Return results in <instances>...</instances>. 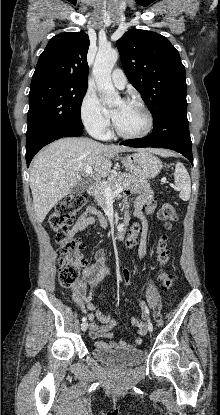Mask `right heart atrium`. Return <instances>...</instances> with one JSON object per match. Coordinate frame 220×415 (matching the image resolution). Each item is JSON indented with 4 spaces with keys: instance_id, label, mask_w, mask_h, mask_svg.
<instances>
[{
    "instance_id": "d8ad5b80",
    "label": "right heart atrium",
    "mask_w": 220,
    "mask_h": 415,
    "mask_svg": "<svg viewBox=\"0 0 220 415\" xmlns=\"http://www.w3.org/2000/svg\"><path fill=\"white\" fill-rule=\"evenodd\" d=\"M80 118L85 129L97 138L109 134L110 120L96 93L88 89L81 101Z\"/></svg>"
}]
</instances>
